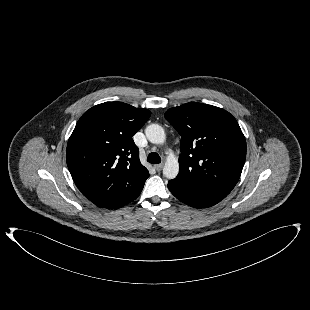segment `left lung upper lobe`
<instances>
[{"mask_svg":"<svg viewBox=\"0 0 310 310\" xmlns=\"http://www.w3.org/2000/svg\"><path fill=\"white\" fill-rule=\"evenodd\" d=\"M165 118L181 135L180 183L226 196L238 182L246 157L236 119L212 105L190 102L170 108Z\"/></svg>","mask_w":310,"mask_h":310,"instance_id":"obj_1","label":"left lung upper lobe"}]
</instances>
